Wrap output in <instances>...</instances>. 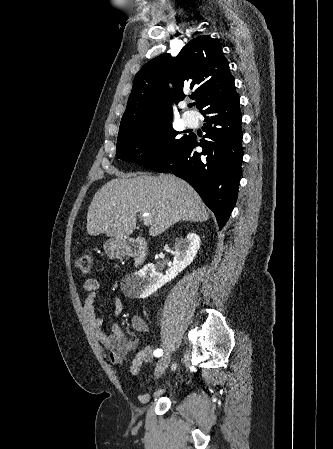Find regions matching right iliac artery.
I'll return each instance as SVG.
<instances>
[{
    "label": "right iliac artery",
    "instance_id": "obj_1",
    "mask_svg": "<svg viewBox=\"0 0 333 449\" xmlns=\"http://www.w3.org/2000/svg\"><path fill=\"white\" fill-rule=\"evenodd\" d=\"M162 354H163L162 349H156V350L154 351V356H155V357H160V356H162Z\"/></svg>",
    "mask_w": 333,
    "mask_h": 449
}]
</instances>
